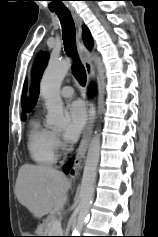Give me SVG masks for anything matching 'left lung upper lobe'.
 <instances>
[{"label": "left lung upper lobe", "mask_w": 158, "mask_h": 237, "mask_svg": "<svg viewBox=\"0 0 158 237\" xmlns=\"http://www.w3.org/2000/svg\"><path fill=\"white\" fill-rule=\"evenodd\" d=\"M25 91H26V84L24 85L23 96H24V94H25Z\"/></svg>", "instance_id": "obj_1"}]
</instances>
